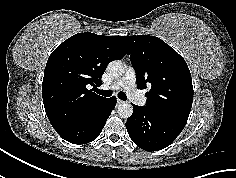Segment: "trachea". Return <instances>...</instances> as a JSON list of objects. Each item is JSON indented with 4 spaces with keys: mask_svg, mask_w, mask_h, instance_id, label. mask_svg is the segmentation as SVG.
Segmentation results:
<instances>
[{
    "mask_svg": "<svg viewBox=\"0 0 236 178\" xmlns=\"http://www.w3.org/2000/svg\"><path fill=\"white\" fill-rule=\"evenodd\" d=\"M95 92L99 95L104 96V97H110L112 95V91H110V90L95 89ZM118 98L121 99V100H126L127 96L124 92H119L118 93Z\"/></svg>",
    "mask_w": 236,
    "mask_h": 178,
    "instance_id": "1",
    "label": "trachea"
}]
</instances>
